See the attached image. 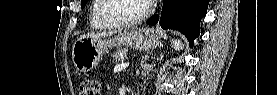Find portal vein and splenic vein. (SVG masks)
I'll list each match as a JSON object with an SVG mask.
<instances>
[{"label": "portal vein and splenic vein", "instance_id": "portal-vein-and-splenic-vein-1", "mask_svg": "<svg viewBox=\"0 0 277 95\" xmlns=\"http://www.w3.org/2000/svg\"><path fill=\"white\" fill-rule=\"evenodd\" d=\"M128 66H129V63H121V64H118V65L115 66L114 72H115V73H116V72H119V71H121V70L127 68Z\"/></svg>", "mask_w": 277, "mask_h": 95}]
</instances>
